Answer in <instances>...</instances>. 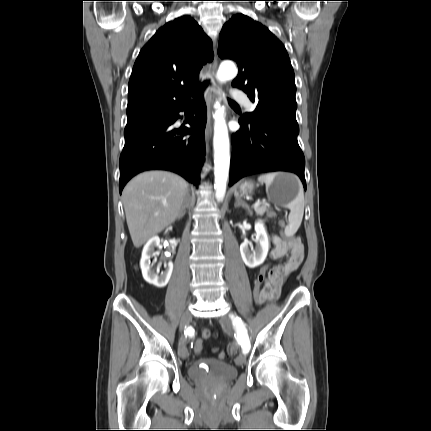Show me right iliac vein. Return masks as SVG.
Returning a JSON list of instances; mask_svg holds the SVG:
<instances>
[{"instance_id":"right-iliac-vein-1","label":"right iliac vein","mask_w":431,"mask_h":431,"mask_svg":"<svg viewBox=\"0 0 431 431\" xmlns=\"http://www.w3.org/2000/svg\"><path fill=\"white\" fill-rule=\"evenodd\" d=\"M191 313L186 310L182 317H181V321H180V332H181V339H180V343H179V348H178V354L182 359H186L189 355L188 350L186 348L185 342H184V337H183V332L185 331V329L189 326L190 322H191Z\"/></svg>"}]
</instances>
